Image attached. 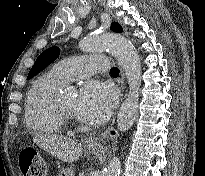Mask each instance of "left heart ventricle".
Returning a JSON list of instances; mask_svg holds the SVG:
<instances>
[{"instance_id": "1", "label": "left heart ventricle", "mask_w": 205, "mask_h": 176, "mask_svg": "<svg viewBox=\"0 0 205 176\" xmlns=\"http://www.w3.org/2000/svg\"><path fill=\"white\" fill-rule=\"evenodd\" d=\"M58 102L61 104V106L65 110L72 112V113L75 112V107H76V97L75 96L59 99Z\"/></svg>"}]
</instances>
